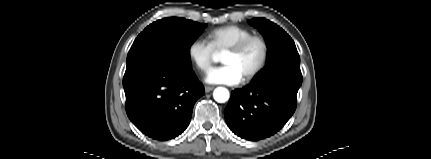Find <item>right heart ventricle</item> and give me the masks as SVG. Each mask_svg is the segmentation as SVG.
Segmentation results:
<instances>
[{
    "mask_svg": "<svg viewBox=\"0 0 431 159\" xmlns=\"http://www.w3.org/2000/svg\"><path fill=\"white\" fill-rule=\"evenodd\" d=\"M251 35L252 31L245 27L226 25L213 29L209 38L214 50L222 53Z\"/></svg>",
    "mask_w": 431,
    "mask_h": 159,
    "instance_id": "1",
    "label": "right heart ventricle"
}]
</instances>
